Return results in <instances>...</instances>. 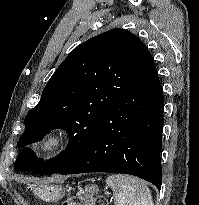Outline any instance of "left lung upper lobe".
<instances>
[{
    "instance_id": "obj_1",
    "label": "left lung upper lobe",
    "mask_w": 199,
    "mask_h": 205,
    "mask_svg": "<svg viewBox=\"0 0 199 205\" xmlns=\"http://www.w3.org/2000/svg\"><path fill=\"white\" fill-rule=\"evenodd\" d=\"M144 43L128 30L115 28L76 47L59 65L37 106L25 117L17 146L43 138L50 130H67L71 144L48 161L24 148L15 171L60 173L84 152L112 104L124 93Z\"/></svg>"
}]
</instances>
